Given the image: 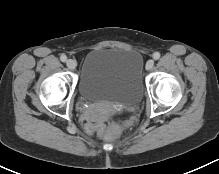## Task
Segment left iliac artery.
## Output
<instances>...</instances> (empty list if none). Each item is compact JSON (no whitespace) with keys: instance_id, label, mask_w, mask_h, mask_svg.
Here are the masks:
<instances>
[{"instance_id":"44dca946","label":"left iliac artery","mask_w":219,"mask_h":174,"mask_svg":"<svg viewBox=\"0 0 219 174\" xmlns=\"http://www.w3.org/2000/svg\"><path fill=\"white\" fill-rule=\"evenodd\" d=\"M153 58H154L155 60H158V59L160 58V53H159V52H155V53L153 54Z\"/></svg>"}]
</instances>
